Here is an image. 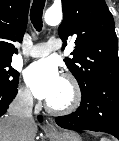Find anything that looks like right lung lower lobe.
<instances>
[{"label":"right lung lower lobe","instance_id":"obj_1","mask_svg":"<svg viewBox=\"0 0 119 141\" xmlns=\"http://www.w3.org/2000/svg\"><path fill=\"white\" fill-rule=\"evenodd\" d=\"M17 94V86L13 88L11 91H2L0 90V116L5 114L7 111L9 104L15 98ZM39 121H42V117H38Z\"/></svg>","mask_w":119,"mask_h":141}]
</instances>
